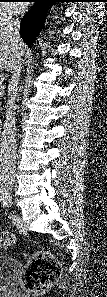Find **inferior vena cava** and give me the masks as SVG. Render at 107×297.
<instances>
[{
  "label": "inferior vena cava",
  "instance_id": "1",
  "mask_svg": "<svg viewBox=\"0 0 107 297\" xmlns=\"http://www.w3.org/2000/svg\"><path fill=\"white\" fill-rule=\"evenodd\" d=\"M19 20L13 19L9 15L2 17L0 21V34L7 37L8 41L16 46L22 47L23 42L19 35ZM18 60L12 71L11 82L9 85L10 97L7 102L6 120L1 135V168L2 174L10 180L15 169L16 155V126H15V100L18 92V81L22 69V52H18Z\"/></svg>",
  "mask_w": 107,
  "mask_h": 297
}]
</instances>
